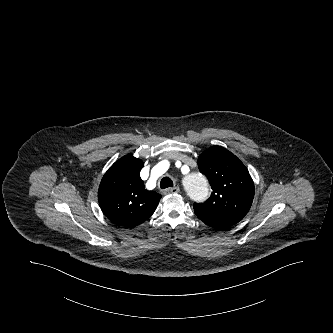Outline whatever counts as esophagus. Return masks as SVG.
<instances>
[{"mask_svg": "<svg viewBox=\"0 0 333 333\" xmlns=\"http://www.w3.org/2000/svg\"><path fill=\"white\" fill-rule=\"evenodd\" d=\"M178 192H179V187H177V186L167 188L163 191L164 194H174V193H178Z\"/></svg>", "mask_w": 333, "mask_h": 333, "instance_id": "34e87169", "label": "esophagus"}]
</instances>
